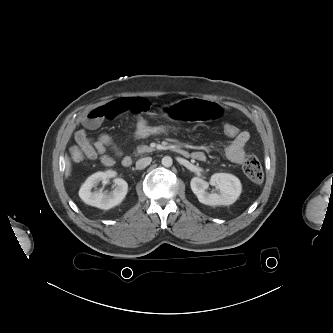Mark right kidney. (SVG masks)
<instances>
[{"label":"right kidney","instance_id":"ca27d5eb","mask_svg":"<svg viewBox=\"0 0 333 333\" xmlns=\"http://www.w3.org/2000/svg\"><path fill=\"white\" fill-rule=\"evenodd\" d=\"M116 176L115 171H106V172H96L92 174L79 190V197L88 205L98 207L100 209L108 210L120 204L127 192L128 184L125 180L121 178H115L114 183L116 185L115 189L108 192H92L91 189L95 187L99 182L106 181L108 178Z\"/></svg>","mask_w":333,"mask_h":333}]
</instances>
